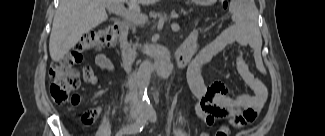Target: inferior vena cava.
<instances>
[{
	"instance_id": "602c4592",
	"label": "inferior vena cava",
	"mask_w": 325,
	"mask_h": 136,
	"mask_svg": "<svg viewBox=\"0 0 325 136\" xmlns=\"http://www.w3.org/2000/svg\"><path fill=\"white\" fill-rule=\"evenodd\" d=\"M126 86L129 88V91H130L131 95L134 96L135 95V89H136V82H135V79L132 76L128 77Z\"/></svg>"
}]
</instances>
